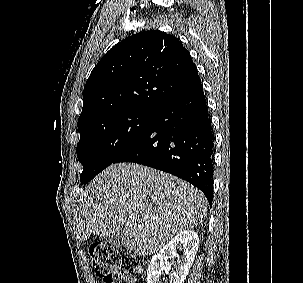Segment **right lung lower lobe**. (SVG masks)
<instances>
[{
	"label": "right lung lower lobe",
	"instance_id": "obj_1",
	"mask_svg": "<svg viewBox=\"0 0 303 283\" xmlns=\"http://www.w3.org/2000/svg\"><path fill=\"white\" fill-rule=\"evenodd\" d=\"M214 136L201 82L164 103L113 163L134 162L180 177L213 200Z\"/></svg>",
	"mask_w": 303,
	"mask_h": 283
}]
</instances>
